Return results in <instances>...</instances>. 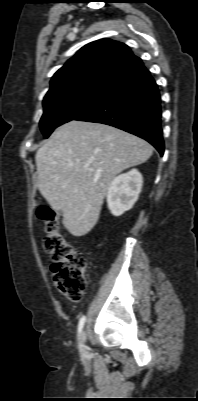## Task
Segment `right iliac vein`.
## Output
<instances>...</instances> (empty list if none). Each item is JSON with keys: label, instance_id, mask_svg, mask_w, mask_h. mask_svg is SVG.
Listing matches in <instances>:
<instances>
[{"label": "right iliac vein", "instance_id": "1", "mask_svg": "<svg viewBox=\"0 0 198 401\" xmlns=\"http://www.w3.org/2000/svg\"><path fill=\"white\" fill-rule=\"evenodd\" d=\"M81 341H82V355L83 356H85L86 354H87V349H86V346H85V341H86V332L85 331H83L82 333H81Z\"/></svg>", "mask_w": 198, "mask_h": 401}]
</instances>
